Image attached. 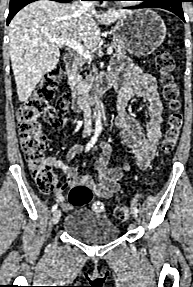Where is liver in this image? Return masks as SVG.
Segmentation results:
<instances>
[{
  "label": "liver",
  "mask_w": 193,
  "mask_h": 287,
  "mask_svg": "<svg viewBox=\"0 0 193 287\" xmlns=\"http://www.w3.org/2000/svg\"><path fill=\"white\" fill-rule=\"evenodd\" d=\"M131 13L98 14L78 2L39 0L21 9L9 24L10 58L20 102L29 99L45 74L58 64L60 50L50 38H73L86 48L100 41V24L109 25Z\"/></svg>",
  "instance_id": "obj_1"
}]
</instances>
